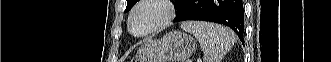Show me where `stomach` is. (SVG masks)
<instances>
[{
    "mask_svg": "<svg viewBox=\"0 0 331 62\" xmlns=\"http://www.w3.org/2000/svg\"><path fill=\"white\" fill-rule=\"evenodd\" d=\"M195 50L193 37L174 31L141 46L137 52V62H184Z\"/></svg>",
    "mask_w": 331,
    "mask_h": 62,
    "instance_id": "stomach-1",
    "label": "stomach"
}]
</instances>
